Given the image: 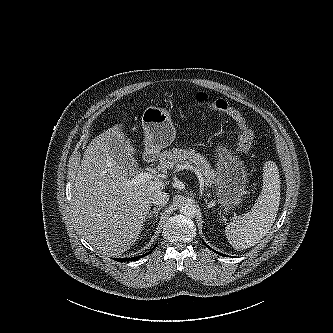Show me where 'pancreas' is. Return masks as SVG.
<instances>
[{"label": "pancreas", "instance_id": "obj_1", "mask_svg": "<svg viewBox=\"0 0 333 333\" xmlns=\"http://www.w3.org/2000/svg\"><path fill=\"white\" fill-rule=\"evenodd\" d=\"M191 164L204 175V180L207 186L214 183L216 171L211 168L206 157L194 150L173 148L169 151H164L159 154V165L162 170L173 169L178 165Z\"/></svg>", "mask_w": 333, "mask_h": 333}]
</instances>
